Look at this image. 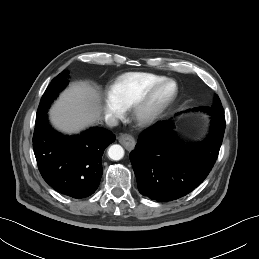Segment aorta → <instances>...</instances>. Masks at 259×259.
I'll use <instances>...</instances> for the list:
<instances>
[{
    "mask_svg": "<svg viewBox=\"0 0 259 259\" xmlns=\"http://www.w3.org/2000/svg\"><path fill=\"white\" fill-rule=\"evenodd\" d=\"M108 156L112 160H115V161L120 160L124 156V149L122 148V146L118 144L112 145L108 150Z\"/></svg>",
    "mask_w": 259,
    "mask_h": 259,
    "instance_id": "aorta-1",
    "label": "aorta"
}]
</instances>
